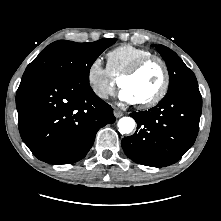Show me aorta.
Masks as SVG:
<instances>
[{"label":"aorta","mask_w":221,"mask_h":221,"mask_svg":"<svg viewBox=\"0 0 221 221\" xmlns=\"http://www.w3.org/2000/svg\"><path fill=\"white\" fill-rule=\"evenodd\" d=\"M135 121L131 117H122L118 122L119 132L121 134H129L134 130Z\"/></svg>","instance_id":"762f6f07"}]
</instances>
